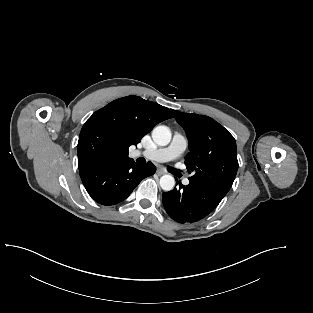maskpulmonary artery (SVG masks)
<instances>
[{
  "mask_svg": "<svg viewBox=\"0 0 313 313\" xmlns=\"http://www.w3.org/2000/svg\"><path fill=\"white\" fill-rule=\"evenodd\" d=\"M186 148H187L186 138L180 133H175L171 143L167 147L137 152L136 154H142L146 158L157 162H165L179 157L180 155L183 154ZM189 183H190L189 178H185L183 180L184 185H188Z\"/></svg>",
  "mask_w": 313,
  "mask_h": 313,
  "instance_id": "e3ab8cb5",
  "label": "pulmonary artery"
}]
</instances>
